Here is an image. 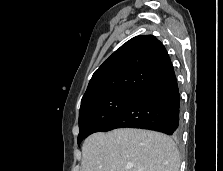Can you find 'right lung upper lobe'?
<instances>
[{
    "label": "right lung upper lobe",
    "instance_id": "cb5924a9",
    "mask_svg": "<svg viewBox=\"0 0 223 171\" xmlns=\"http://www.w3.org/2000/svg\"><path fill=\"white\" fill-rule=\"evenodd\" d=\"M172 69L170 57L156 37L136 36L95 71L82 97L81 106L112 93H139Z\"/></svg>",
    "mask_w": 223,
    "mask_h": 171
}]
</instances>
